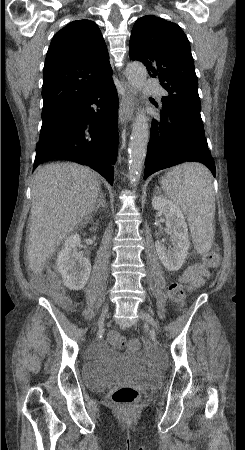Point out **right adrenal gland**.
<instances>
[{
  "label": "right adrenal gland",
  "instance_id": "2a0ac1e0",
  "mask_svg": "<svg viewBox=\"0 0 245 450\" xmlns=\"http://www.w3.org/2000/svg\"><path fill=\"white\" fill-rule=\"evenodd\" d=\"M104 198L105 197H104L103 192H100L99 198L97 200V204H96L95 209H94L95 213L98 212L100 207L105 208L106 204H105V199Z\"/></svg>",
  "mask_w": 245,
  "mask_h": 450
}]
</instances>
